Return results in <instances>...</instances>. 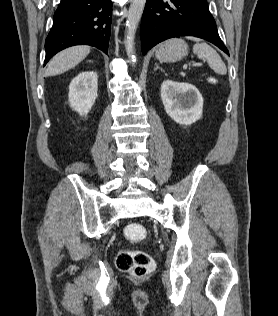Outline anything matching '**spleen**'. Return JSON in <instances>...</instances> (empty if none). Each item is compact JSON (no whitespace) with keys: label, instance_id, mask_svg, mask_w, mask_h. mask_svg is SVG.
<instances>
[{"label":"spleen","instance_id":"3e777b00","mask_svg":"<svg viewBox=\"0 0 278 316\" xmlns=\"http://www.w3.org/2000/svg\"><path fill=\"white\" fill-rule=\"evenodd\" d=\"M189 40H193L196 44L193 47V52L199 59L207 61L209 66L214 69L218 74L225 75L227 68L225 63L222 61L220 55L211 46L204 42H200L199 39L194 37H186Z\"/></svg>","mask_w":278,"mask_h":316}]
</instances>
